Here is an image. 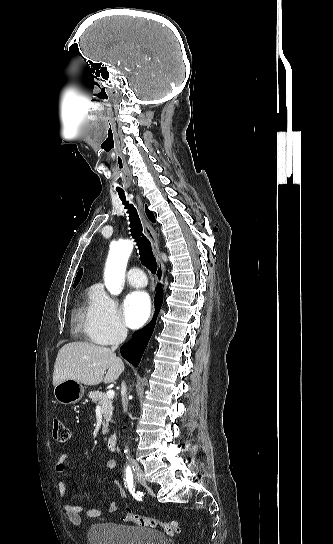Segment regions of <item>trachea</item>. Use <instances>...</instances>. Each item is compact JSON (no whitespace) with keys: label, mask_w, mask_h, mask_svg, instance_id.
<instances>
[{"label":"trachea","mask_w":333,"mask_h":544,"mask_svg":"<svg viewBox=\"0 0 333 544\" xmlns=\"http://www.w3.org/2000/svg\"><path fill=\"white\" fill-rule=\"evenodd\" d=\"M117 192H118L119 198L122 200L123 204L125 205V208L128 209L127 212L129 213L131 235L137 242L139 254L143 261V264L149 268L151 273L154 274L157 270V263L151 249L150 241L142 234V225H141L139 216L137 214V211L133 207V205L128 204V202L125 200V194L123 190H117Z\"/></svg>","instance_id":"trachea-1"}]
</instances>
